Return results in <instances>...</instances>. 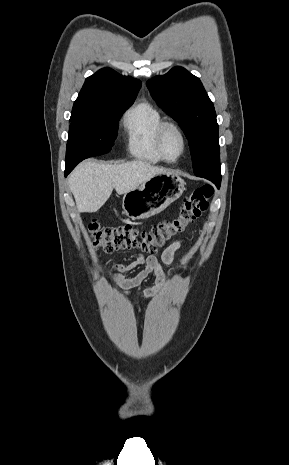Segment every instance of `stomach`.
Segmentation results:
<instances>
[{
  "label": "stomach",
  "instance_id": "obj_1",
  "mask_svg": "<svg viewBox=\"0 0 289 465\" xmlns=\"http://www.w3.org/2000/svg\"><path fill=\"white\" fill-rule=\"evenodd\" d=\"M177 174L159 173L123 197V213L132 220L146 219L166 209L185 190Z\"/></svg>",
  "mask_w": 289,
  "mask_h": 465
}]
</instances>
